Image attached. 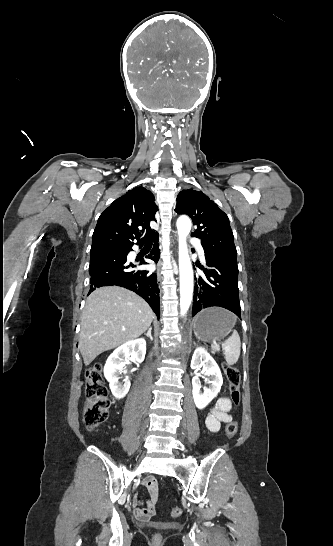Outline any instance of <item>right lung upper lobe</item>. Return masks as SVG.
Listing matches in <instances>:
<instances>
[{"instance_id":"right-lung-upper-lobe-1","label":"right lung upper lobe","mask_w":333,"mask_h":546,"mask_svg":"<svg viewBox=\"0 0 333 546\" xmlns=\"http://www.w3.org/2000/svg\"><path fill=\"white\" fill-rule=\"evenodd\" d=\"M154 200L151 191L136 187L112 202L98 219L91 248L116 243L134 244L135 239L144 242L156 234L150 227V221H155L158 210ZM144 232L146 237L140 238Z\"/></svg>"}]
</instances>
